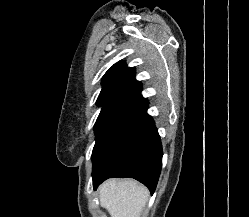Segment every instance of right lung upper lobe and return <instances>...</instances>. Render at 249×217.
Returning <instances> with one entry per match:
<instances>
[{"instance_id":"obj_1","label":"right lung upper lobe","mask_w":249,"mask_h":217,"mask_svg":"<svg viewBox=\"0 0 249 217\" xmlns=\"http://www.w3.org/2000/svg\"><path fill=\"white\" fill-rule=\"evenodd\" d=\"M138 84L140 82L135 79V69L127 67L123 61H120L105 73L99 97L111 94L123 95Z\"/></svg>"}]
</instances>
